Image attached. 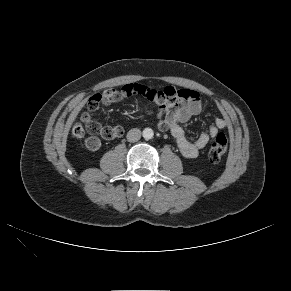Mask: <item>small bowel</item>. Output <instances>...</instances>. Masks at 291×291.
<instances>
[{"instance_id":"obj_1","label":"small bowel","mask_w":291,"mask_h":291,"mask_svg":"<svg viewBox=\"0 0 291 291\" xmlns=\"http://www.w3.org/2000/svg\"><path fill=\"white\" fill-rule=\"evenodd\" d=\"M100 95L103 99L99 104L103 105H111L123 98L138 96L155 102L159 109L152 114L156 118L157 127L162 131L169 130L181 154L189 159L197 157L209 140L228 124L225 119L216 118L208 130L201 133L196 140L188 139L183 124L202 111L200 94L194 89L166 86L161 90H156L137 83H129L120 89H109ZM113 127H119L123 134L121 126ZM86 146L90 150H96L100 146V140L89 138L86 140Z\"/></svg>"}]
</instances>
